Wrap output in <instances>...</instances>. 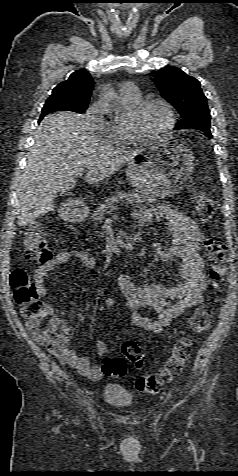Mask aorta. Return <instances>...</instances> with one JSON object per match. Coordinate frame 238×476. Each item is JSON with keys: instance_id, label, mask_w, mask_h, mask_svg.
Instances as JSON below:
<instances>
[{"instance_id": "obj_1", "label": "aorta", "mask_w": 238, "mask_h": 476, "mask_svg": "<svg viewBox=\"0 0 238 476\" xmlns=\"http://www.w3.org/2000/svg\"><path fill=\"white\" fill-rule=\"evenodd\" d=\"M103 107L107 112H113L117 110V96L113 89H109L103 97Z\"/></svg>"}]
</instances>
